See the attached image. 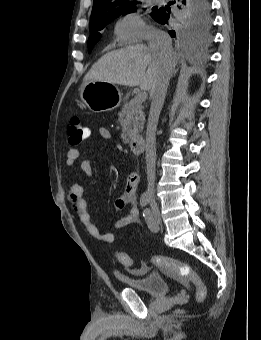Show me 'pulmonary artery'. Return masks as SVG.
Segmentation results:
<instances>
[{"mask_svg":"<svg viewBox=\"0 0 261 340\" xmlns=\"http://www.w3.org/2000/svg\"><path fill=\"white\" fill-rule=\"evenodd\" d=\"M161 0H154V2L159 3Z\"/></svg>","mask_w":261,"mask_h":340,"instance_id":"1","label":"pulmonary artery"}]
</instances>
